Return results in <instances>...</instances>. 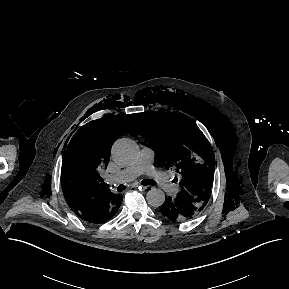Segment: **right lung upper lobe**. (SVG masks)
<instances>
[{"mask_svg":"<svg viewBox=\"0 0 289 289\" xmlns=\"http://www.w3.org/2000/svg\"><path fill=\"white\" fill-rule=\"evenodd\" d=\"M129 115H110L82 126L72 137L63 156L64 197L77 216L96 219L104 206L115 204L120 195L103 186L100 172L107 167L111 145L132 131Z\"/></svg>","mask_w":289,"mask_h":289,"instance_id":"1","label":"right lung upper lobe"}]
</instances>
